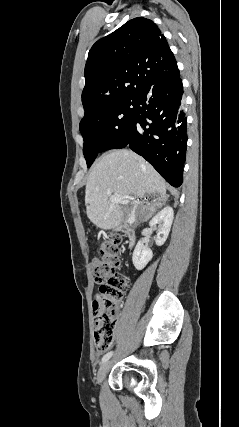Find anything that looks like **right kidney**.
<instances>
[{"instance_id":"obj_1","label":"right kidney","mask_w":239,"mask_h":427,"mask_svg":"<svg viewBox=\"0 0 239 427\" xmlns=\"http://www.w3.org/2000/svg\"><path fill=\"white\" fill-rule=\"evenodd\" d=\"M174 218L173 209L170 206L163 208L158 214H156L149 222V226L152 229H156L158 226V232L155 239L156 245L161 246L165 243ZM152 250L144 246L143 242L138 241L132 256V262L137 270H142L152 259Z\"/></svg>"}]
</instances>
